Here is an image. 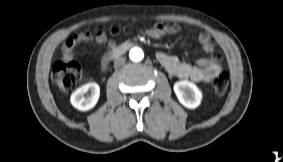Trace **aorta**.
Returning a JSON list of instances; mask_svg holds the SVG:
<instances>
[{"instance_id": "762f6f07", "label": "aorta", "mask_w": 283, "mask_h": 162, "mask_svg": "<svg viewBox=\"0 0 283 162\" xmlns=\"http://www.w3.org/2000/svg\"><path fill=\"white\" fill-rule=\"evenodd\" d=\"M129 57L132 61L138 62V61L143 59L144 53H143L142 49L135 47V48H132L130 50Z\"/></svg>"}]
</instances>
